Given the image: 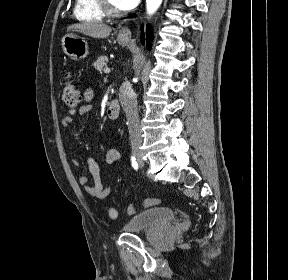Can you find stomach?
I'll list each match as a JSON object with an SVG mask.
<instances>
[{"mask_svg":"<svg viewBox=\"0 0 288 280\" xmlns=\"http://www.w3.org/2000/svg\"><path fill=\"white\" fill-rule=\"evenodd\" d=\"M119 44L128 45L129 39L118 36ZM62 48L64 53L72 60H81L89 53L88 43L84 38L69 33L62 38Z\"/></svg>","mask_w":288,"mask_h":280,"instance_id":"0dacf381","label":"stomach"}]
</instances>
